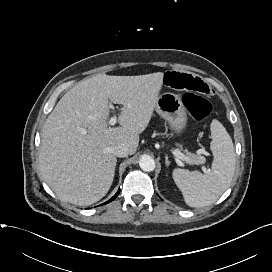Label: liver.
Wrapping results in <instances>:
<instances>
[{
  "mask_svg": "<svg viewBox=\"0 0 272 272\" xmlns=\"http://www.w3.org/2000/svg\"><path fill=\"white\" fill-rule=\"evenodd\" d=\"M162 72L139 76L97 74L59 100L41 134L39 166L58 198L91 205L109 191L117 163L112 149L126 144L134 154L163 85ZM109 101L123 105L119 127H110Z\"/></svg>",
  "mask_w": 272,
  "mask_h": 272,
  "instance_id": "obj_1",
  "label": "liver"
}]
</instances>
